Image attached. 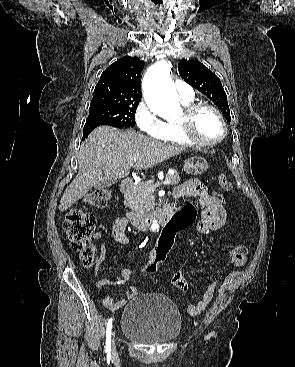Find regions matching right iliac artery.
<instances>
[{"label":"right iliac artery","instance_id":"82829eb1","mask_svg":"<svg viewBox=\"0 0 295 367\" xmlns=\"http://www.w3.org/2000/svg\"><path fill=\"white\" fill-rule=\"evenodd\" d=\"M113 318H110L107 323V331H106V348L105 352L110 354L111 351V329H112Z\"/></svg>","mask_w":295,"mask_h":367}]
</instances>
